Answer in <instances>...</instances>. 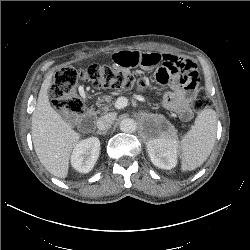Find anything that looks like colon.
I'll use <instances>...</instances> for the list:
<instances>
[{
	"mask_svg": "<svg viewBox=\"0 0 250 250\" xmlns=\"http://www.w3.org/2000/svg\"><path fill=\"white\" fill-rule=\"evenodd\" d=\"M78 80L90 82L96 88L143 89L145 83L129 73L117 71L108 66L91 65L82 69L65 67L54 77L49 94L54 106L68 119L79 117L84 112L82 99L76 93ZM211 105V99L205 89H199L192 106L196 112L205 110Z\"/></svg>",
	"mask_w": 250,
	"mask_h": 250,
	"instance_id": "colon-1",
	"label": "colon"
}]
</instances>
